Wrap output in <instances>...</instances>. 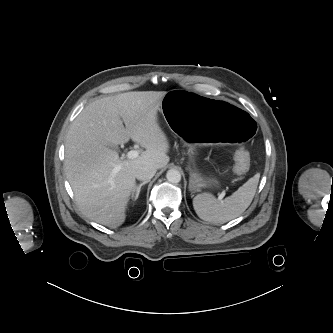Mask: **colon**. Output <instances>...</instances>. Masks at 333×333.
<instances>
[{"mask_svg": "<svg viewBox=\"0 0 333 333\" xmlns=\"http://www.w3.org/2000/svg\"><path fill=\"white\" fill-rule=\"evenodd\" d=\"M236 170L239 173L245 172L249 165V153L244 148H239L235 155Z\"/></svg>", "mask_w": 333, "mask_h": 333, "instance_id": "1", "label": "colon"}]
</instances>
